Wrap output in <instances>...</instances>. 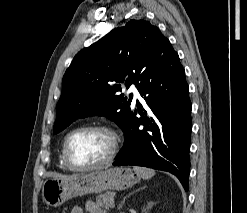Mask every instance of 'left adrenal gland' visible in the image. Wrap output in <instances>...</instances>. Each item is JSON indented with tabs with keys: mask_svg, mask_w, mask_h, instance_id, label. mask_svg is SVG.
<instances>
[{
	"mask_svg": "<svg viewBox=\"0 0 247 213\" xmlns=\"http://www.w3.org/2000/svg\"><path fill=\"white\" fill-rule=\"evenodd\" d=\"M144 188H146V186H143V187H141V188H138L137 190H135V191L129 193L127 196H125V197L123 198L122 202L119 204L118 209L120 210V209L123 207V205H124V203H125V200H126L128 197H130V196H131L132 194H134L135 192H138L139 190L144 189Z\"/></svg>",
	"mask_w": 247,
	"mask_h": 213,
	"instance_id": "a2214340",
	"label": "left adrenal gland"
}]
</instances>
